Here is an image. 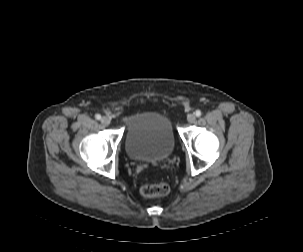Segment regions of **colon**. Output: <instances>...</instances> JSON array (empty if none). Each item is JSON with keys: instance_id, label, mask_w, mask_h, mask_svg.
I'll use <instances>...</instances> for the list:
<instances>
[{"instance_id": "colon-1", "label": "colon", "mask_w": 303, "mask_h": 252, "mask_svg": "<svg viewBox=\"0 0 303 252\" xmlns=\"http://www.w3.org/2000/svg\"><path fill=\"white\" fill-rule=\"evenodd\" d=\"M170 191V187L166 182L156 184H148L143 186L142 193L147 197H163Z\"/></svg>"}]
</instances>
